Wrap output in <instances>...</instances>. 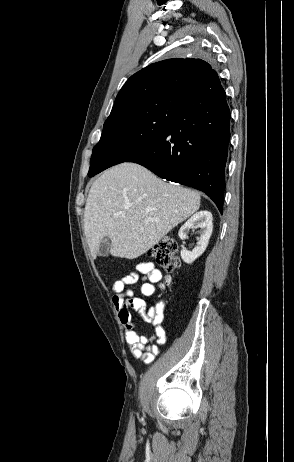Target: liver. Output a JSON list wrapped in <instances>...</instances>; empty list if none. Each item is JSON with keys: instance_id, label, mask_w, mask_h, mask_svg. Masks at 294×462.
Instances as JSON below:
<instances>
[{"instance_id": "1", "label": "liver", "mask_w": 294, "mask_h": 462, "mask_svg": "<svg viewBox=\"0 0 294 462\" xmlns=\"http://www.w3.org/2000/svg\"><path fill=\"white\" fill-rule=\"evenodd\" d=\"M200 200L197 192L166 183L139 164L116 165L93 182L85 204L91 254L109 237L112 256L135 259L194 214Z\"/></svg>"}]
</instances>
